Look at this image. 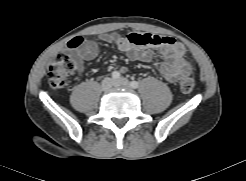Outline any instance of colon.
<instances>
[{
	"label": "colon",
	"mask_w": 246,
	"mask_h": 181,
	"mask_svg": "<svg viewBox=\"0 0 246 181\" xmlns=\"http://www.w3.org/2000/svg\"><path fill=\"white\" fill-rule=\"evenodd\" d=\"M162 39L157 35L144 34L140 37L139 43L143 45H158ZM82 43L81 37L73 38L69 46L71 48L78 47ZM77 68V63L71 57L64 54H57L50 65L47 73V80L53 88L65 87L71 75ZM195 86L194 80L190 77H184L179 83L180 90L183 93H190Z\"/></svg>",
	"instance_id": "1"
}]
</instances>
